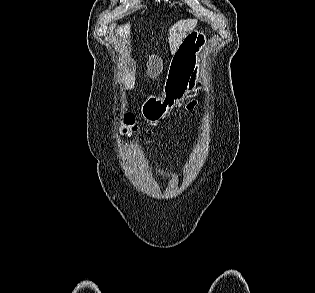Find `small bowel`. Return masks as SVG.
<instances>
[{
	"label": "small bowel",
	"instance_id": "small-bowel-1",
	"mask_svg": "<svg viewBox=\"0 0 315 293\" xmlns=\"http://www.w3.org/2000/svg\"><path fill=\"white\" fill-rule=\"evenodd\" d=\"M157 174H158V177H159V180L161 182H166V179H165V174H164V169L162 167H160L157 171Z\"/></svg>",
	"mask_w": 315,
	"mask_h": 293
}]
</instances>
